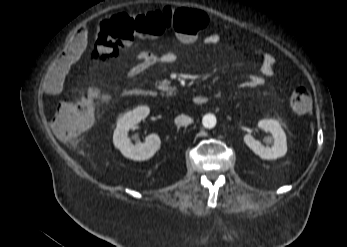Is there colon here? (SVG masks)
<instances>
[{
  "label": "colon",
  "instance_id": "1",
  "mask_svg": "<svg viewBox=\"0 0 347 247\" xmlns=\"http://www.w3.org/2000/svg\"><path fill=\"white\" fill-rule=\"evenodd\" d=\"M208 25L207 15L199 10L185 7L165 8L140 15L116 13L100 23L94 48V58L106 62L118 55L121 48L127 46L138 36H161L171 29L186 42L194 40L196 35ZM77 55L73 56L74 60ZM102 94L90 89L81 100H63L55 109L52 127L56 135L70 140L88 131L94 122V111ZM292 108L298 113H307L312 106L309 90L296 87L290 97Z\"/></svg>",
  "mask_w": 347,
  "mask_h": 247
}]
</instances>
